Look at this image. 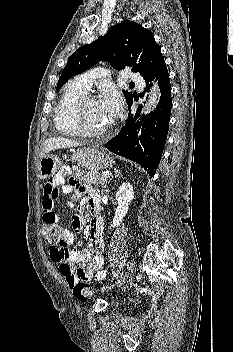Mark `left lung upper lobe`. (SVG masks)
Listing matches in <instances>:
<instances>
[{"mask_svg": "<svg viewBox=\"0 0 233 352\" xmlns=\"http://www.w3.org/2000/svg\"><path fill=\"white\" fill-rule=\"evenodd\" d=\"M123 55V56H114ZM100 61H108L121 70L130 66L133 72H139L145 79L152 75L164 61L160 47L152 32L132 21H123L114 25L96 41L76 50L67 61L57 83L59 90L71 77L78 75ZM129 103L133 93L123 90Z\"/></svg>", "mask_w": 233, "mask_h": 352, "instance_id": "1", "label": "left lung upper lobe"}]
</instances>
